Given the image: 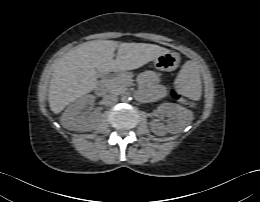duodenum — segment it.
<instances>
[{
  "mask_svg": "<svg viewBox=\"0 0 260 202\" xmlns=\"http://www.w3.org/2000/svg\"><path fill=\"white\" fill-rule=\"evenodd\" d=\"M119 74V70H117V69H111V70H109L106 74H105V80H110V79H112V78H114L115 76H117ZM96 89L97 90H102V87H101V85H98L97 87H96Z\"/></svg>",
  "mask_w": 260,
  "mask_h": 202,
  "instance_id": "duodenum-1",
  "label": "duodenum"
}]
</instances>
